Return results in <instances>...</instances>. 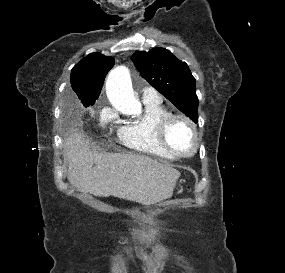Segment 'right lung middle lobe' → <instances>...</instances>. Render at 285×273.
I'll return each instance as SVG.
<instances>
[{"mask_svg": "<svg viewBox=\"0 0 285 273\" xmlns=\"http://www.w3.org/2000/svg\"><path fill=\"white\" fill-rule=\"evenodd\" d=\"M92 105V104H91ZM85 107H87V106H89V104H87V105H84Z\"/></svg>", "mask_w": 285, "mask_h": 273, "instance_id": "dd1d6c3e", "label": "right lung middle lobe"}]
</instances>
